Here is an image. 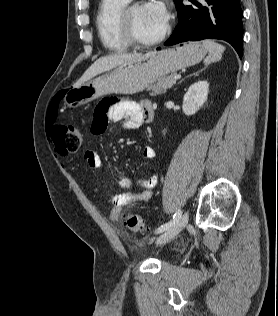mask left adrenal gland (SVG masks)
Segmentation results:
<instances>
[{"label": "left adrenal gland", "mask_w": 278, "mask_h": 316, "mask_svg": "<svg viewBox=\"0 0 278 316\" xmlns=\"http://www.w3.org/2000/svg\"><path fill=\"white\" fill-rule=\"evenodd\" d=\"M198 74V72H196V73H194V74H192V75H197ZM192 75H190V76H192Z\"/></svg>", "instance_id": "left-adrenal-gland-1"}]
</instances>
